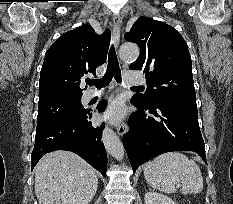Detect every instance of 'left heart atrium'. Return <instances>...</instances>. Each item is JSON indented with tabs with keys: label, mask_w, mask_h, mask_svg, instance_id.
Wrapping results in <instances>:
<instances>
[{
	"label": "left heart atrium",
	"mask_w": 233,
	"mask_h": 204,
	"mask_svg": "<svg viewBox=\"0 0 233 204\" xmlns=\"http://www.w3.org/2000/svg\"><path fill=\"white\" fill-rule=\"evenodd\" d=\"M123 114L124 111L122 104L119 102H114L107 109L105 117L112 122H118L122 119Z\"/></svg>",
	"instance_id": "left-heart-atrium-1"
}]
</instances>
